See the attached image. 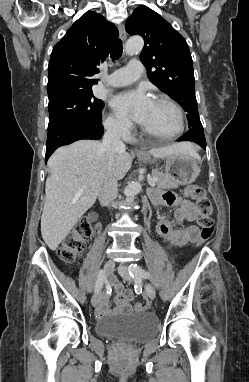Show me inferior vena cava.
Wrapping results in <instances>:
<instances>
[{"label": "inferior vena cava", "mask_w": 249, "mask_h": 382, "mask_svg": "<svg viewBox=\"0 0 249 382\" xmlns=\"http://www.w3.org/2000/svg\"><path fill=\"white\" fill-rule=\"evenodd\" d=\"M102 148L109 156L118 151L125 150V144L121 140V129L119 124H111L107 127L103 136ZM117 178L111 170H108L102 180L98 192V199L103 206H109L117 198Z\"/></svg>", "instance_id": "602c4592"}]
</instances>
